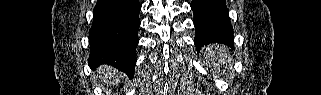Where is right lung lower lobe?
Here are the masks:
<instances>
[{
  "instance_id": "98d812e1",
  "label": "right lung lower lobe",
  "mask_w": 321,
  "mask_h": 95,
  "mask_svg": "<svg viewBox=\"0 0 321 95\" xmlns=\"http://www.w3.org/2000/svg\"><path fill=\"white\" fill-rule=\"evenodd\" d=\"M140 9L139 0H97L89 31L91 68L109 64L133 76Z\"/></svg>"
}]
</instances>
